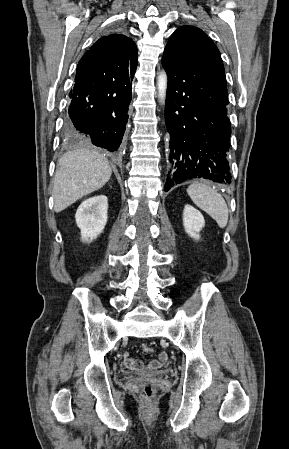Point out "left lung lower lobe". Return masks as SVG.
Returning <instances> with one entry per match:
<instances>
[{
	"instance_id": "1",
	"label": "left lung lower lobe",
	"mask_w": 289,
	"mask_h": 449,
	"mask_svg": "<svg viewBox=\"0 0 289 449\" xmlns=\"http://www.w3.org/2000/svg\"><path fill=\"white\" fill-rule=\"evenodd\" d=\"M162 64L168 75L169 169L164 190L192 178L230 185L228 92L189 63L164 55Z\"/></svg>"
}]
</instances>
